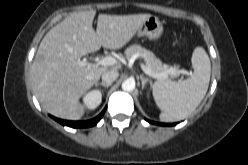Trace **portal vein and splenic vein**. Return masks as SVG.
<instances>
[{"mask_svg":"<svg viewBox=\"0 0 248 165\" xmlns=\"http://www.w3.org/2000/svg\"><path fill=\"white\" fill-rule=\"evenodd\" d=\"M117 63L116 58L112 57V56H106L101 58L100 60L96 61V64H87V62L85 60H80L78 61V65L80 66H85V65H102V66H112L115 65ZM143 72L145 74H147L148 76L152 77V78H156V79H161V78H166L167 74L166 73H155L153 72L151 69H149L146 65H144L143 63L140 64ZM180 73H184V74H190L188 71L186 70H181Z\"/></svg>","mask_w":248,"mask_h":165,"instance_id":"1","label":"portal vein and splenic vein"}]
</instances>
